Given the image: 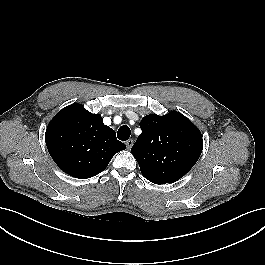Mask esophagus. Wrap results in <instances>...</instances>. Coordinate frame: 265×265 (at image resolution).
Returning a JSON list of instances; mask_svg holds the SVG:
<instances>
[{"mask_svg": "<svg viewBox=\"0 0 265 265\" xmlns=\"http://www.w3.org/2000/svg\"><path fill=\"white\" fill-rule=\"evenodd\" d=\"M133 146V140L129 139L126 141V147L127 149H131V147Z\"/></svg>", "mask_w": 265, "mask_h": 265, "instance_id": "34e87169", "label": "esophagus"}]
</instances>
